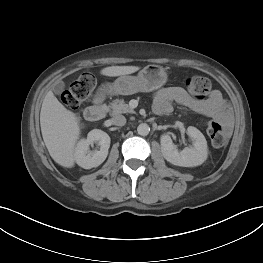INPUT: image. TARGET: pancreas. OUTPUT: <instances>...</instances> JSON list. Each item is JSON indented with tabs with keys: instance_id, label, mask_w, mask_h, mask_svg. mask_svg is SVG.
I'll return each instance as SVG.
<instances>
[{
	"instance_id": "cf45deb5",
	"label": "pancreas",
	"mask_w": 263,
	"mask_h": 263,
	"mask_svg": "<svg viewBox=\"0 0 263 263\" xmlns=\"http://www.w3.org/2000/svg\"><path fill=\"white\" fill-rule=\"evenodd\" d=\"M107 110L111 115L121 114V113H135L134 110L124 102L123 99H115L108 106Z\"/></svg>"
}]
</instances>
